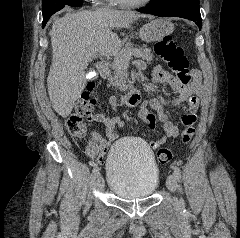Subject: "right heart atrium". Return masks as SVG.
Masks as SVG:
<instances>
[{"mask_svg":"<svg viewBox=\"0 0 240 238\" xmlns=\"http://www.w3.org/2000/svg\"><path fill=\"white\" fill-rule=\"evenodd\" d=\"M88 1H91L93 3H99V2H109L111 0H88Z\"/></svg>","mask_w":240,"mask_h":238,"instance_id":"right-heart-atrium-1","label":"right heart atrium"}]
</instances>
